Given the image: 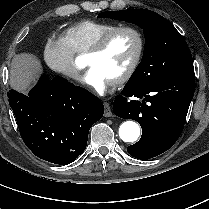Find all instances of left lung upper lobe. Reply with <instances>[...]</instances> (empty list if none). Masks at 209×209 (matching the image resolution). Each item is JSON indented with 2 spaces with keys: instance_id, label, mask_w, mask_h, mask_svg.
<instances>
[{
  "instance_id": "5c2ea615",
  "label": "left lung upper lobe",
  "mask_w": 209,
  "mask_h": 209,
  "mask_svg": "<svg viewBox=\"0 0 209 209\" xmlns=\"http://www.w3.org/2000/svg\"><path fill=\"white\" fill-rule=\"evenodd\" d=\"M98 17L134 23L143 29V57L127 83L148 84L194 69L192 55L183 36L161 15L147 9H130L107 11Z\"/></svg>"
}]
</instances>
